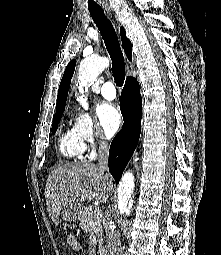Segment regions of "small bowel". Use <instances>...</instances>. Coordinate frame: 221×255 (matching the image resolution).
I'll return each instance as SVG.
<instances>
[{
    "mask_svg": "<svg viewBox=\"0 0 221 255\" xmlns=\"http://www.w3.org/2000/svg\"><path fill=\"white\" fill-rule=\"evenodd\" d=\"M67 244L69 245V247L76 251V252H79L81 251L82 247H81V244L79 242V240L77 239V237L73 234H69L67 236Z\"/></svg>",
    "mask_w": 221,
    "mask_h": 255,
    "instance_id": "1",
    "label": "small bowel"
}]
</instances>
